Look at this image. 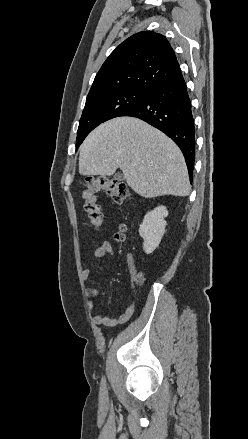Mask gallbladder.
<instances>
[{
    "label": "gallbladder",
    "instance_id": "gallbladder-1",
    "mask_svg": "<svg viewBox=\"0 0 248 439\" xmlns=\"http://www.w3.org/2000/svg\"><path fill=\"white\" fill-rule=\"evenodd\" d=\"M115 179H117V180H123V175L121 174V173H117V174H115Z\"/></svg>",
    "mask_w": 248,
    "mask_h": 439
}]
</instances>
